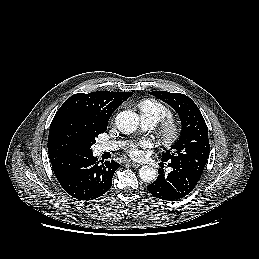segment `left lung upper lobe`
<instances>
[{"label": "left lung upper lobe", "mask_w": 259, "mask_h": 259, "mask_svg": "<svg viewBox=\"0 0 259 259\" xmlns=\"http://www.w3.org/2000/svg\"><path fill=\"white\" fill-rule=\"evenodd\" d=\"M151 95L169 104L180 116L182 132L171 150L162 154L163 162H175L202 175L209 157L208 128L197 105L186 95L153 91Z\"/></svg>", "instance_id": "1"}]
</instances>
